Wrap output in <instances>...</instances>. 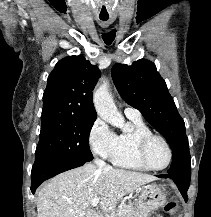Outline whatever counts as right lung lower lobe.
<instances>
[{"instance_id":"98d812e1","label":"right lung lower lobe","mask_w":211,"mask_h":217,"mask_svg":"<svg viewBox=\"0 0 211 217\" xmlns=\"http://www.w3.org/2000/svg\"><path fill=\"white\" fill-rule=\"evenodd\" d=\"M84 163L63 159H47L35 162L31 172V192L34 194L43 181L64 171L82 166Z\"/></svg>"}]
</instances>
